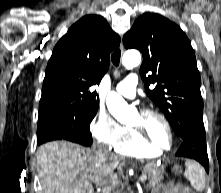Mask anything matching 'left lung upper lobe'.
<instances>
[{
    "instance_id": "obj_1",
    "label": "left lung upper lobe",
    "mask_w": 221,
    "mask_h": 193,
    "mask_svg": "<svg viewBox=\"0 0 221 193\" xmlns=\"http://www.w3.org/2000/svg\"><path fill=\"white\" fill-rule=\"evenodd\" d=\"M123 43L142 52L140 74L146 93L173 130L182 139L204 131L200 75L194 50L180 27L161 15L144 13L124 35ZM148 72L152 75L147 76Z\"/></svg>"
}]
</instances>
